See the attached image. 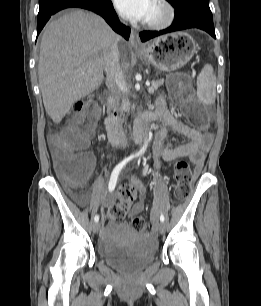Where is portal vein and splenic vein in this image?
Wrapping results in <instances>:
<instances>
[{
	"instance_id": "obj_1",
	"label": "portal vein and splenic vein",
	"mask_w": 261,
	"mask_h": 306,
	"mask_svg": "<svg viewBox=\"0 0 261 306\" xmlns=\"http://www.w3.org/2000/svg\"><path fill=\"white\" fill-rule=\"evenodd\" d=\"M152 90H151V88L149 87V89H148V92L150 93Z\"/></svg>"
}]
</instances>
